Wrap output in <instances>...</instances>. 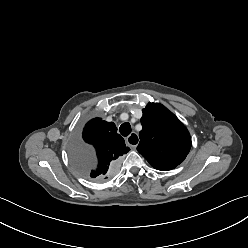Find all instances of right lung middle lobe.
Wrapping results in <instances>:
<instances>
[{"instance_id":"dd1d6c3e","label":"right lung middle lobe","mask_w":248,"mask_h":248,"mask_svg":"<svg viewBox=\"0 0 248 248\" xmlns=\"http://www.w3.org/2000/svg\"><path fill=\"white\" fill-rule=\"evenodd\" d=\"M70 155L75 168L80 174L88 177L87 173L94 167L93 150L81 141L76 140L71 146Z\"/></svg>"}]
</instances>
